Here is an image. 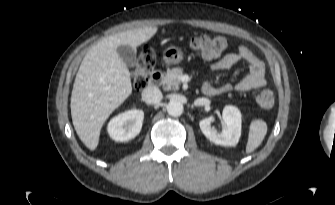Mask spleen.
Returning a JSON list of instances; mask_svg holds the SVG:
<instances>
[{
    "label": "spleen",
    "mask_w": 335,
    "mask_h": 205,
    "mask_svg": "<svg viewBox=\"0 0 335 205\" xmlns=\"http://www.w3.org/2000/svg\"><path fill=\"white\" fill-rule=\"evenodd\" d=\"M267 133V124L261 119H255L251 122L249 128L246 153L253 152L262 143Z\"/></svg>",
    "instance_id": "1"
}]
</instances>
